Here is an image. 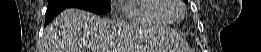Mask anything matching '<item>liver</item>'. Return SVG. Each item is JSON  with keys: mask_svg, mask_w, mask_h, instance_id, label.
I'll return each mask as SVG.
<instances>
[{"mask_svg": "<svg viewBox=\"0 0 261 52\" xmlns=\"http://www.w3.org/2000/svg\"><path fill=\"white\" fill-rule=\"evenodd\" d=\"M137 33L136 24L69 8L46 26L41 52H131Z\"/></svg>", "mask_w": 261, "mask_h": 52, "instance_id": "6515ba94", "label": "liver"}]
</instances>
